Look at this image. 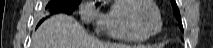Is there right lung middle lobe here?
Masks as SVG:
<instances>
[{"label":"right lung middle lobe","mask_w":213,"mask_h":48,"mask_svg":"<svg viewBox=\"0 0 213 48\" xmlns=\"http://www.w3.org/2000/svg\"><path fill=\"white\" fill-rule=\"evenodd\" d=\"M80 2L81 0H51L46 7L47 14H71Z\"/></svg>","instance_id":"dd1d6c3e"}]
</instances>
